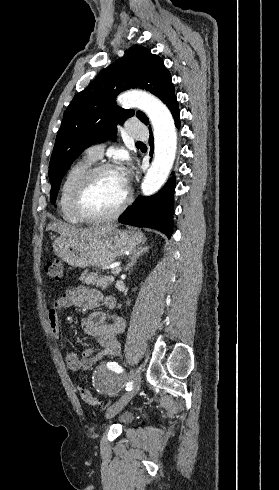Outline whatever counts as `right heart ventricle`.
Masks as SVG:
<instances>
[{
	"label": "right heart ventricle",
	"mask_w": 279,
	"mask_h": 490,
	"mask_svg": "<svg viewBox=\"0 0 279 490\" xmlns=\"http://www.w3.org/2000/svg\"><path fill=\"white\" fill-rule=\"evenodd\" d=\"M92 163L85 157L76 161L68 168L62 181L59 193V208L63 220L71 225L86 223L75 210L74 198L80 179L91 167Z\"/></svg>",
	"instance_id": "obj_1"
}]
</instances>
